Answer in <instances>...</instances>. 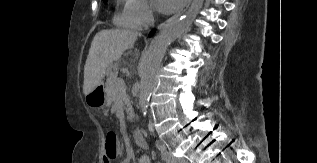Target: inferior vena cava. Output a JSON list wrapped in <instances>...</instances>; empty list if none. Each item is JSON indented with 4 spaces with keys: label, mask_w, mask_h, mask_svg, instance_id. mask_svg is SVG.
Instances as JSON below:
<instances>
[{
    "label": "inferior vena cava",
    "mask_w": 317,
    "mask_h": 163,
    "mask_svg": "<svg viewBox=\"0 0 317 163\" xmlns=\"http://www.w3.org/2000/svg\"><path fill=\"white\" fill-rule=\"evenodd\" d=\"M161 155L162 156H166L167 155L166 151L163 148H161Z\"/></svg>",
    "instance_id": "obj_1"
}]
</instances>
